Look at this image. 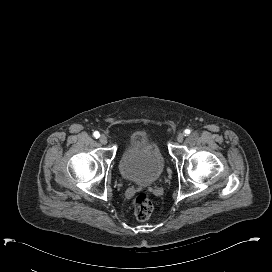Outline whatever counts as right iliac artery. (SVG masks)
Masks as SVG:
<instances>
[{
  "instance_id": "1",
  "label": "right iliac artery",
  "mask_w": 272,
  "mask_h": 272,
  "mask_svg": "<svg viewBox=\"0 0 272 272\" xmlns=\"http://www.w3.org/2000/svg\"><path fill=\"white\" fill-rule=\"evenodd\" d=\"M93 135H94L95 138H98V137L100 136V134H99L98 131H95V132L93 133Z\"/></svg>"
}]
</instances>
